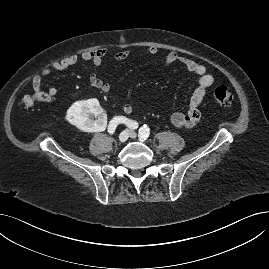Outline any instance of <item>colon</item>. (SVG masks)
<instances>
[{
  "label": "colon",
  "instance_id": "5ec220e1",
  "mask_svg": "<svg viewBox=\"0 0 269 269\" xmlns=\"http://www.w3.org/2000/svg\"><path fill=\"white\" fill-rule=\"evenodd\" d=\"M235 95L227 86H219L213 92V100L223 106H230L234 101ZM44 95L41 92L32 93L23 99V103L29 106L37 101H43Z\"/></svg>",
  "mask_w": 269,
  "mask_h": 269
}]
</instances>
